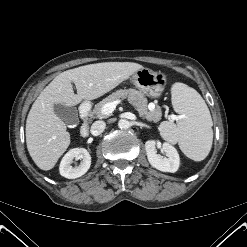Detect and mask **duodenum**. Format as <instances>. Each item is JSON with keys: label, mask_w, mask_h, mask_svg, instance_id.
I'll list each match as a JSON object with an SVG mask.
<instances>
[{"label": "duodenum", "mask_w": 247, "mask_h": 247, "mask_svg": "<svg viewBox=\"0 0 247 247\" xmlns=\"http://www.w3.org/2000/svg\"><path fill=\"white\" fill-rule=\"evenodd\" d=\"M79 111L81 118L80 134L83 137H87L89 135L91 105L89 103H83Z\"/></svg>", "instance_id": "duodenum-1"}]
</instances>
